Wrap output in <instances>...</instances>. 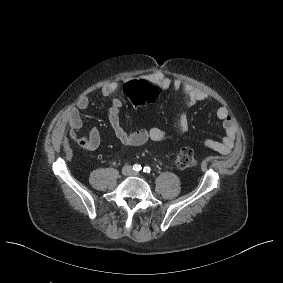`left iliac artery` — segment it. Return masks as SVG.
<instances>
[{
  "instance_id": "1",
  "label": "left iliac artery",
  "mask_w": 283,
  "mask_h": 283,
  "mask_svg": "<svg viewBox=\"0 0 283 283\" xmlns=\"http://www.w3.org/2000/svg\"><path fill=\"white\" fill-rule=\"evenodd\" d=\"M150 171H151V168L149 166H145L143 168V172H145V173H150Z\"/></svg>"
}]
</instances>
